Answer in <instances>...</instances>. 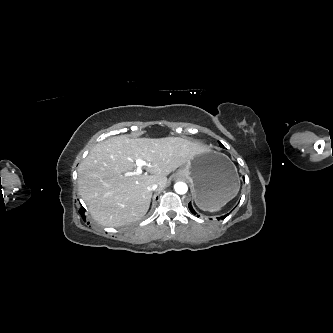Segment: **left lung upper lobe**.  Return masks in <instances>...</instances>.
Returning a JSON list of instances; mask_svg holds the SVG:
<instances>
[{"label":"left lung upper lobe","instance_id":"5c2ea615","mask_svg":"<svg viewBox=\"0 0 333 333\" xmlns=\"http://www.w3.org/2000/svg\"><path fill=\"white\" fill-rule=\"evenodd\" d=\"M221 147H224L221 143H219Z\"/></svg>","mask_w":333,"mask_h":333}]
</instances>
